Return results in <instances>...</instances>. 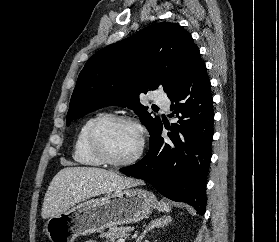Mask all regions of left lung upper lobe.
Returning a JSON list of instances; mask_svg holds the SVG:
<instances>
[{"mask_svg":"<svg viewBox=\"0 0 279 242\" xmlns=\"http://www.w3.org/2000/svg\"><path fill=\"white\" fill-rule=\"evenodd\" d=\"M198 51L190 33L170 22L151 25L99 50L79 74L67 125L88 112L117 105L134 110L152 136L161 120L151 117L139 95L158 87L169 95Z\"/></svg>","mask_w":279,"mask_h":242,"instance_id":"obj_1","label":"left lung upper lobe"}]
</instances>
